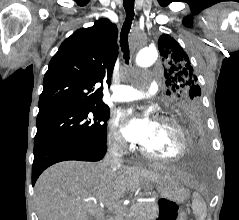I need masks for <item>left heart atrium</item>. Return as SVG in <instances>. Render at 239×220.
<instances>
[{
  "mask_svg": "<svg viewBox=\"0 0 239 220\" xmlns=\"http://www.w3.org/2000/svg\"><path fill=\"white\" fill-rule=\"evenodd\" d=\"M151 125L152 121L147 117H130L122 133L128 141L143 144L150 135Z\"/></svg>",
  "mask_w": 239,
  "mask_h": 220,
  "instance_id": "obj_1",
  "label": "left heart atrium"
}]
</instances>
